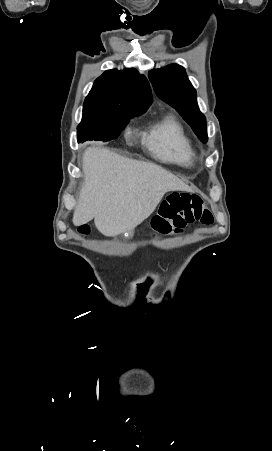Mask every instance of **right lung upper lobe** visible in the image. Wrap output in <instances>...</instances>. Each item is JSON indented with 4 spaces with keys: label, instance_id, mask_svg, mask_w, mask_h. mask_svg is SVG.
<instances>
[{
    "label": "right lung upper lobe",
    "instance_id": "1",
    "mask_svg": "<svg viewBox=\"0 0 272 451\" xmlns=\"http://www.w3.org/2000/svg\"><path fill=\"white\" fill-rule=\"evenodd\" d=\"M152 94L145 76L136 69L105 71L94 82L84 101V108L137 109L148 108Z\"/></svg>",
    "mask_w": 272,
    "mask_h": 451
}]
</instances>
